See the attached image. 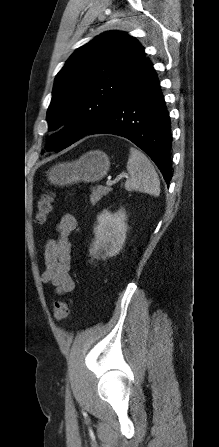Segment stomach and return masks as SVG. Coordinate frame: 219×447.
<instances>
[{"instance_id": "0dacf381", "label": "stomach", "mask_w": 219, "mask_h": 447, "mask_svg": "<svg viewBox=\"0 0 219 447\" xmlns=\"http://www.w3.org/2000/svg\"><path fill=\"white\" fill-rule=\"evenodd\" d=\"M110 161L108 156L99 150L87 152L78 160L59 163L48 172V180L59 186L77 182H96L108 172Z\"/></svg>"}]
</instances>
